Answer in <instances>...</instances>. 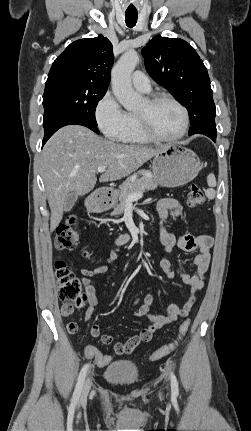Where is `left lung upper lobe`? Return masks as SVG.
Wrapping results in <instances>:
<instances>
[{
	"label": "left lung upper lobe",
	"instance_id": "5c2ea615",
	"mask_svg": "<svg viewBox=\"0 0 251 431\" xmlns=\"http://www.w3.org/2000/svg\"><path fill=\"white\" fill-rule=\"evenodd\" d=\"M147 72L189 113V135L204 131L216 138V108L206 67L195 49L179 38L155 36L142 49Z\"/></svg>",
	"mask_w": 251,
	"mask_h": 431
}]
</instances>
